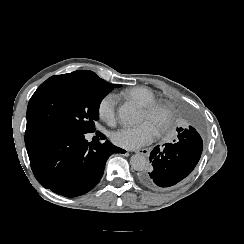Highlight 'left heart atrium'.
<instances>
[{"label": "left heart atrium", "instance_id": "39dd6f15", "mask_svg": "<svg viewBox=\"0 0 244 244\" xmlns=\"http://www.w3.org/2000/svg\"><path fill=\"white\" fill-rule=\"evenodd\" d=\"M157 130L148 122L129 128L120 129L111 135L112 142L125 149L135 150L149 145L157 139Z\"/></svg>", "mask_w": 244, "mask_h": 244}]
</instances>
